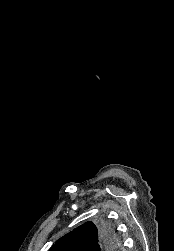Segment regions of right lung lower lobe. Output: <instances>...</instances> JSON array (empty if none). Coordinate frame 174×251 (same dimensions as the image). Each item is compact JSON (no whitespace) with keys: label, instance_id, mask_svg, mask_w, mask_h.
<instances>
[{"label":"right lung lower lobe","instance_id":"right-lung-lower-lobe-1","mask_svg":"<svg viewBox=\"0 0 174 251\" xmlns=\"http://www.w3.org/2000/svg\"><path fill=\"white\" fill-rule=\"evenodd\" d=\"M115 246V248H112ZM117 241L113 230L106 226H100V241L92 251H114L117 248Z\"/></svg>","mask_w":174,"mask_h":251}]
</instances>
